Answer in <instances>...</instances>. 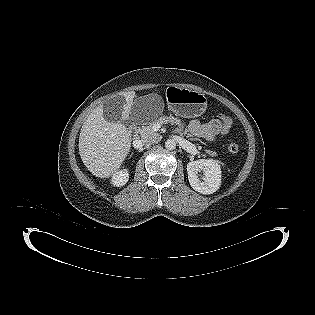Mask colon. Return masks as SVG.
<instances>
[{
    "label": "colon",
    "instance_id": "5ec220e1",
    "mask_svg": "<svg viewBox=\"0 0 315 315\" xmlns=\"http://www.w3.org/2000/svg\"><path fill=\"white\" fill-rule=\"evenodd\" d=\"M213 117L215 119H220V121L223 123L221 131L224 134H230L232 132V127L237 125V120L235 118H231L228 114H222L220 110H215L213 112ZM228 150L231 153H238L240 151V146L236 143H230L228 145Z\"/></svg>",
    "mask_w": 315,
    "mask_h": 315
}]
</instances>
